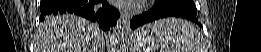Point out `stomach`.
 I'll return each mask as SVG.
<instances>
[{
  "label": "stomach",
  "mask_w": 261,
  "mask_h": 52,
  "mask_svg": "<svg viewBox=\"0 0 261 52\" xmlns=\"http://www.w3.org/2000/svg\"><path fill=\"white\" fill-rule=\"evenodd\" d=\"M130 45L136 52H153L159 45V42L156 36L151 34L146 27L131 34Z\"/></svg>",
  "instance_id": "obj_1"
}]
</instances>
